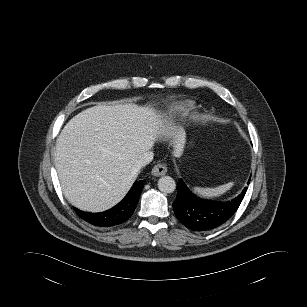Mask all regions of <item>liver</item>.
<instances>
[{
  "mask_svg": "<svg viewBox=\"0 0 307 307\" xmlns=\"http://www.w3.org/2000/svg\"><path fill=\"white\" fill-rule=\"evenodd\" d=\"M153 108L135 104L97 105L74 116L56 143L55 167L65 198L83 211L116 205L138 176L137 161L162 136H185Z\"/></svg>",
  "mask_w": 307,
  "mask_h": 307,
  "instance_id": "liver-1",
  "label": "liver"
}]
</instances>
